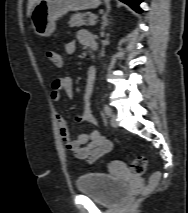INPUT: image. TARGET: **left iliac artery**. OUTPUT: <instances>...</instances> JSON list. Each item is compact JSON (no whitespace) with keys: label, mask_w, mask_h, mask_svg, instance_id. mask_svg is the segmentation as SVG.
I'll return each instance as SVG.
<instances>
[{"label":"left iliac artery","mask_w":188,"mask_h":213,"mask_svg":"<svg viewBox=\"0 0 188 213\" xmlns=\"http://www.w3.org/2000/svg\"><path fill=\"white\" fill-rule=\"evenodd\" d=\"M104 111L106 113V115L111 116L112 115V110L108 105H104Z\"/></svg>","instance_id":"44dca946"}]
</instances>
